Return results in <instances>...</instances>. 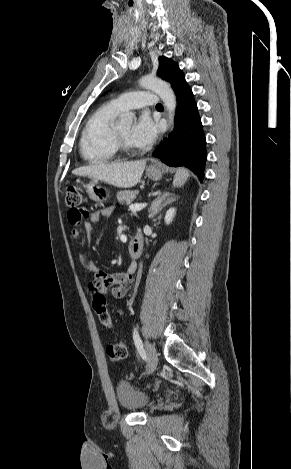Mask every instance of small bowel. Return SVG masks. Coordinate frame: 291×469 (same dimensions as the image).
Segmentation results:
<instances>
[{
    "mask_svg": "<svg viewBox=\"0 0 291 469\" xmlns=\"http://www.w3.org/2000/svg\"><path fill=\"white\" fill-rule=\"evenodd\" d=\"M110 213V208L95 212L91 215L87 212L84 213L83 216H78V213L75 211H69L67 218L71 227L72 240H79L84 218H89L92 222H95L98 221L100 217L108 216ZM83 226L86 231L90 230V224L88 222H85ZM81 261L90 272L94 273V277L88 281V289L93 294V300L96 293H107L115 298H123L127 294L137 268L135 263H132L126 271L109 274L99 270L93 263L84 258H82Z\"/></svg>",
    "mask_w": 291,
    "mask_h": 469,
    "instance_id": "c3829d8e",
    "label": "small bowel"
}]
</instances>
